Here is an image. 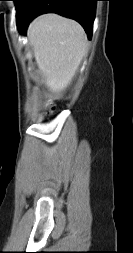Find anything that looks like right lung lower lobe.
Segmentation results:
<instances>
[{
    "instance_id": "obj_1",
    "label": "right lung lower lobe",
    "mask_w": 133,
    "mask_h": 253,
    "mask_svg": "<svg viewBox=\"0 0 133 253\" xmlns=\"http://www.w3.org/2000/svg\"><path fill=\"white\" fill-rule=\"evenodd\" d=\"M97 1L98 0H27L17 19V25L20 32L25 34L30 21L38 15L44 13H57L78 21L83 26L90 39L92 36Z\"/></svg>"
}]
</instances>
